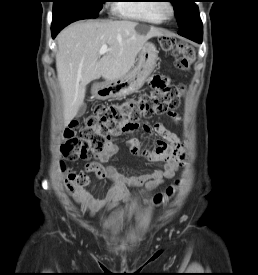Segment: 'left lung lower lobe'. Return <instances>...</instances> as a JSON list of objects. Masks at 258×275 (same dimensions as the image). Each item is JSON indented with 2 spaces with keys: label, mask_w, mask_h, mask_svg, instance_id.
I'll return each instance as SVG.
<instances>
[{
  "label": "left lung lower lobe",
  "mask_w": 258,
  "mask_h": 275,
  "mask_svg": "<svg viewBox=\"0 0 258 275\" xmlns=\"http://www.w3.org/2000/svg\"><path fill=\"white\" fill-rule=\"evenodd\" d=\"M178 34L195 42L202 43L203 25L198 10L193 21L188 25L184 26L183 28H181L178 31Z\"/></svg>",
  "instance_id": "1"
}]
</instances>
